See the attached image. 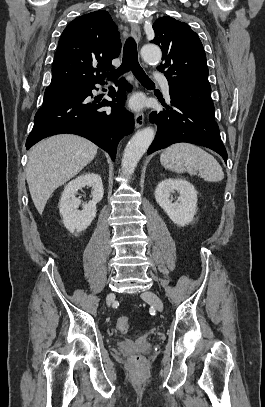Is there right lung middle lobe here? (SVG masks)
<instances>
[{"label":"right lung middle lobe","instance_id":"1","mask_svg":"<svg viewBox=\"0 0 265 407\" xmlns=\"http://www.w3.org/2000/svg\"><path fill=\"white\" fill-rule=\"evenodd\" d=\"M82 87L83 85L71 83L50 84L45 90L43 105L71 98Z\"/></svg>","mask_w":265,"mask_h":407}]
</instances>
